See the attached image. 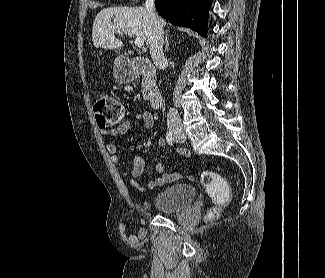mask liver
I'll list each match as a JSON object with an SVG mask.
<instances>
[{
  "label": "liver",
  "mask_w": 325,
  "mask_h": 278,
  "mask_svg": "<svg viewBox=\"0 0 325 278\" xmlns=\"http://www.w3.org/2000/svg\"><path fill=\"white\" fill-rule=\"evenodd\" d=\"M157 18L162 27L166 25V21ZM117 30L142 38L147 46L151 43L153 26L144 7H110L101 10L93 22V45L103 49L121 48L123 42L115 37Z\"/></svg>",
  "instance_id": "obj_1"
}]
</instances>
